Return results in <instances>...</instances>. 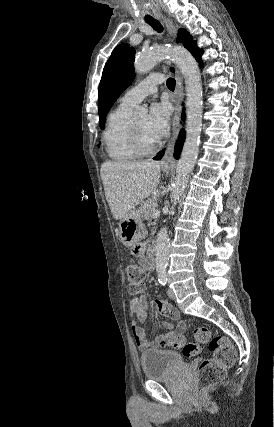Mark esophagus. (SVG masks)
Returning <instances> with one entry per match:
<instances>
[{
  "instance_id": "34e87169",
  "label": "esophagus",
  "mask_w": 274,
  "mask_h": 427,
  "mask_svg": "<svg viewBox=\"0 0 274 427\" xmlns=\"http://www.w3.org/2000/svg\"><path fill=\"white\" fill-rule=\"evenodd\" d=\"M162 19L165 23L169 36L171 38H174L177 32V29L173 21L163 16H162ZM175 76H176L177 85H176L175 99H174L175 113L173 117L172 135L170 140L167 143V148H166L164 157L160 162L161 167H169L171 164L175 162L173 158V150H174V145L177 140L179 129H180L181 102L183 99V78L178 71H176Z\"/></svg>"
}]
</instances>
